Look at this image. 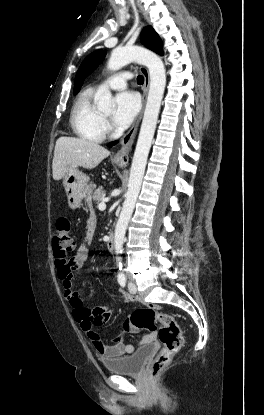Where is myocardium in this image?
<instances>
[{"label":"myocardium","instance_id":"f54148a6","mask_svg":"<svg viewBox=\"0 0 264 415\" xmlns=\"http://www.w3.org/2000/svg\"><path fill=\"white\" fill-rule=\"evenodd\" d=\"M101 115L104 121L108 119L107 116H105L104 114H101Z\"/></svg>","mask_w":264,"mask_h":415}]
</instances>
